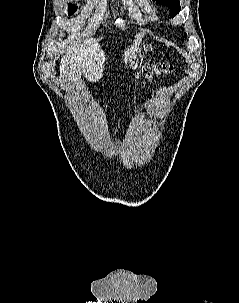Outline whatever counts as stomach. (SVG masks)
Segmentation results:
<instances>
[{"mask_svg": "<svg viewBox=\"0 0 239 303\" xmlns=\"http://www.w3.org/2000/svg\"><path fill=\"white\" fill-rule=\"evenodd\" d=\"M138 55H140V51H137L136 54H132L130 57H129V61L131 63H134L135 60H138Z\"/></svg>", "mask_w": 239, "mask_h": 303, "instance_id": "0dacf381", "label": "stomach"}]
</instances>
